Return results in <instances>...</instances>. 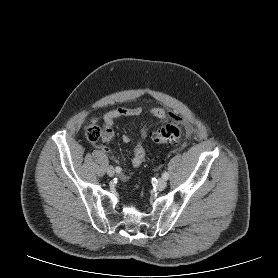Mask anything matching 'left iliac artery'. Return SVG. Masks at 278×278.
Segmentation results:
<instances>
[{"instance_id": "left-iliac-artery-1", "label": "left iliac artery", "mask_w": 278, "mask_h": 278, "mask_svg": "<svg viewBox=\"0 0 278 278\" xmlns=\"http://www.w3.org/2000/svg\"><path fill=\"white\" fill-rule=\"evenodd\" d=\"M168 173L165 171L163 174H162V178L167 180L168 179Z\"/></svg>"}]
</instances>
